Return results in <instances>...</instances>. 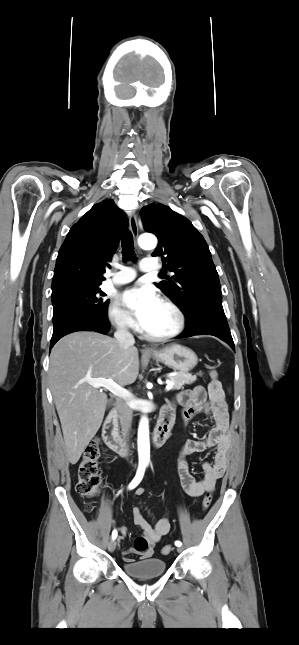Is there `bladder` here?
I'll return each instance as SVG.
<instances>
[{"label": "bladder", "instance_id": "31cf9c89", "mask_svg": "<svg viewBox=\"0 0 299 645\" xmlns=\"http://www.w3.org/2000/svg\"><path fill=\"white\" fill-rule=\"evenodd\" d=\"M167 564L161 558H148L135 562H127L122 565V570L128 576L134 578L158 577L166 572Z\"/></svg>", "mask_w": 299, "mask_h": 645}]
</instances>
